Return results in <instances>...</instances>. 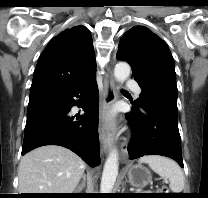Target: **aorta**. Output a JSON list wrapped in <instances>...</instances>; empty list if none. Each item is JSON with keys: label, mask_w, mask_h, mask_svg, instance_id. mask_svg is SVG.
Listing matches in <instances>:
<instances>
[{"label": "aorta", "mask_w": 208, "mask_h": 198, "mask_svg": "<svg viewBox=\"0 0 208 198\" xmlns=\"http://www.w3.org/2000/svg\"><path fill=\"white\" fill-rule=\"evenodd\" d=\"M131 68L128 63L119 62L114 68V77L118 82H124L130 75ZM118 151L113 150L107 157L100 185V193H112L118 175Z\"/></svg>", "instance_id": "1"}]
</instances>
